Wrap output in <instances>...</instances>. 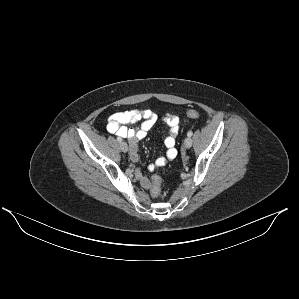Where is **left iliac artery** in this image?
<instances>
[{
  "label": "left iliac artery",
  "mask_w": 299,
  "mask_h": 299,
  "mask_svg": "<svg viewBox=\"0 0 299 299\" xmlns=\"http://www.w3.org/2000/svg\"><path fill=\"white\" fill-rule=\"evenodd\" d=\"M192 134H193V132H192V131H189V132L187 133L188 137H191V136H192Z\"/></svg>",
  "instance_id": "obj_1"
}]
</instances>
